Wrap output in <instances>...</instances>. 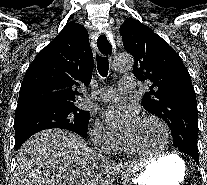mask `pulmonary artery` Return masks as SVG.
Masks as SVG:
<instances>
[{
  "label": "pulmonary artery",
  "mask_w": 207,
  "mask_h": 185,
  "mask_svg": "<svg viewBox=\"0 0 207 185\" xmlns=\"http://www.w3.org/2000/svg\"><path fill=\"white\" fill-rule=\"evenodd\" d=\"M122 89L107 87L102 88L95 95V98L100 101H112L121 97L122 94L130 91H135L136 81H133V77H123V81L120 82Z\"/></svg>",
  "instance_id": "e3ab8cb5"
}]
</instances>
